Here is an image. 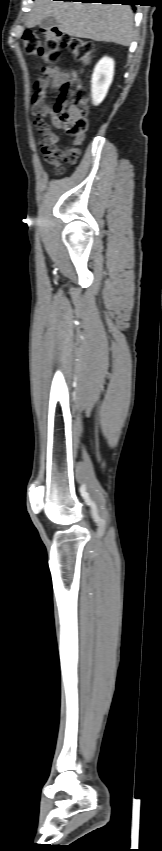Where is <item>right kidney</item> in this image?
Listing matches in <instances>:
<instances>
[{
	"mask_svg": "<svg viewBox=\"0 0 162 851\" xmlns=\"http://www.w3.org/2000/svg\"><path fill=\"white\" fill-rule=\"evenodd\" d=\"M114 75V60L103 57L95 66L91 80L92 102L99 105L105 98Z\"/></svg>",
	"mask_w": 162,
	"mask_h": 851,
	"instance_id": "right-kidney-1",
	"label": "right kidney"
}]
</instances>
